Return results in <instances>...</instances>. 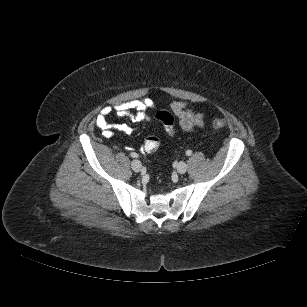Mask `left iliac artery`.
<instances>
[{
	"instance_id": "obj_1",
	"label": "left iliac artery",
	"mask_w": 307,
	"mask_h": 307,
	"mask_svg": "<svg viewBox=\"0 0 307 307\" xmlns=\"http://www.w3.org/2000/svg\"><path fill=\"white\" fill-rule=\"evenodd\" d=\"M191 154H192V151H191V150H187V151H186V155H187V156H190Z\"/></svg>"
}]
</instances>
